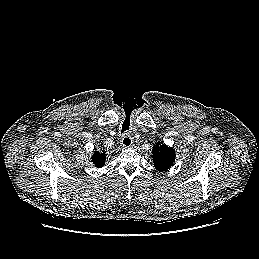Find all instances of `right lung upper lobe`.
I'll return each instance as SVG.
<instances>
[{"label": "right lung upper lobe", "mask_w": 259, "mask_h": 259, "mask_svg": "<svg viewBox=\"0 0 259 259\" xmlns=\"http://www.w3.org/2000/svg\"><path fill=\"white\" fill-rule=\"evenodd\" d=\"M106 154L105 151H95L92 156V162L96 167H103L105 164Z\"/></svg>", "instance_id": "1"}]
</instances>
